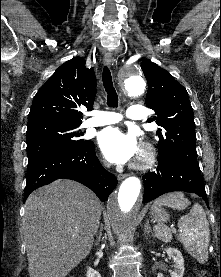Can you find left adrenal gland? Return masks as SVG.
Returning a JSON list of instances; mask_svg holds the SVG:
<instances>
[{
  "label": "left adrenal gland",
  "mask_w": 221,
  "mask_h": 277,
  "mask_svg": "<svg viewBox=\"0 0 221 277\" xmlns=\"http://www.w3.org/2000/svg\"><path fill=\"white\" fill-rule=\"evenodd\" d=\"M144 232H145V234H150L151 233L152 236H154L152 231H151V228H150L149 220H146V224L144 226Z\"/></svg>",
  "instance_id": "left-adrenal-gland-1"
}]
</instances>
